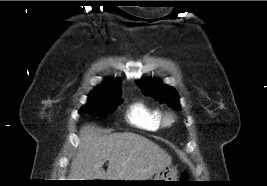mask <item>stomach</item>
Segmentation results:
<instances>
[{
  "instance_id": "0dacf381",
  "label": "stomach",
  "mask_w": 267,
  "mask_h": 186,
  "mask_svg": "<svg viewBox=\"0 0 267 186\" xmlns=\"http://www.w3.org/2000/svg\"><path fill=\"white\" fill-rule=\"evenodd\" d=\"M177 171L175 167L172 165H168L164 167L162 170L158 171L153 178L150 180L145 181H152L147 182L144 185H151V186H168L171 185L170 183L173 182H165V181H177Z\"/></svg>"
}]
</instances>
